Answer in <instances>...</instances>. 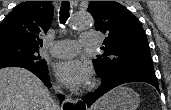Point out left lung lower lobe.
<instances>
[{
  "label": "left lung lower lobe",
  "instance_id": "left-lung-lower-lobe-1",
  "mask_svg": "<svg viewBox=\"0 0 171 110\" xmlns=\"http://www.w3.org/2000/svg\"><path fill=\"white\" fill-rule=\"evenodd\" d=\"M101 80L102 83L99 88L93 94L83 99L87 107H90L103 94L123 83L137 81L146 82L153 85L159 91L158 81L154 73V69H122L105 77H102Z\"/></svg>",
  "mask_w": 171,
  "mask_h": 110
}]
</instances>
